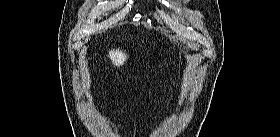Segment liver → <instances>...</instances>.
<instances>
[{"label":"liver","instance_id":"1","mask_svg":"<svg viewBox=\"0 0 280 137\" xmlns=\"http://www.w3.org/2000/svg\"><path fill=\"white\" fill-rule=\"evenodd\" d=\"M108 57L116 66H122L127 60V54L120 49L109 51Z\"/></svg>","mask_w":280,"mask_h":137}]
</instances>
